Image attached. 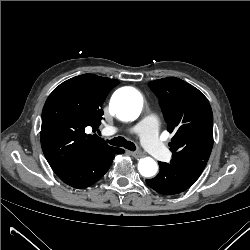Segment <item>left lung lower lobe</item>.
I'll use <instances>...</instances> for the list:
<instances>
[{
    "label": "left lung lower lobe",
    "instance_id": "obj_1",
    "mask_svg": "<svg viewBox=\"0 0 250 250\" xmlns=\"http://www.w3.org/2000/svg\"><path fill=\"white\" fill-rule=\"evenodd\" d=\"M158 163L160 165L159 174L153 179H147L146 183L164 195H174L188 189L206 166L204 161Z\"/></svg>",
    "mask_w": 250,
    "mask_h": 250
}]
</instances>
